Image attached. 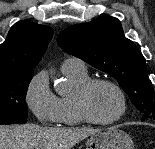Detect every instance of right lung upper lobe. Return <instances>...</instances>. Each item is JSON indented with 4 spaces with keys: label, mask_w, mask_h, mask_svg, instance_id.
<instances>
[{
    "label": "right lung upper lobe",
    "mask_w": 155,
    "mask_h": 149,
    "mask_svg": "<svg viewBox=\"0 0 155 149\" xmlns=\"http://www.w3.org/2000/svg\"><path fill=\"white\" fill-rule=\"evenodd\" d=\"M53 35V29L30 20L15 23L0 45V77L33 72Z\"/></svg>",
    "instance_id": "obj_1"
}]
</instances>
